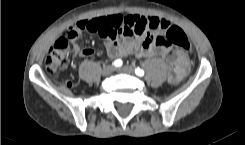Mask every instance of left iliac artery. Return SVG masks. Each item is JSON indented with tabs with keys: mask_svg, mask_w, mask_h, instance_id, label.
I'll use <instances>...</instances> for the list:
<instances>
[{
	"mask_svg": "<svg viewBox=\"0 0 245 145\" xmlns=\"http://www.w3.org/2000/svg\"><path fill=\"white\" fill-rule=\"evenodd\" d=\"M135 73L138 76H144V71L142 69H140V68H136L135 69Z\"/></svg>",
	"mask_w": 245,
	"mask_h": 145,
	"instance_id": "left-iliac-artery-1",
	"label": "left iliac artery"
}]
</instances>
